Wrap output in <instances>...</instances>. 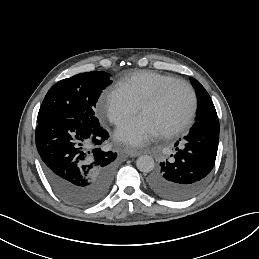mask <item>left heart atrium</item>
<instances>
[{"mask_svg":"<svg viewBox=\"0 0 259 259\" xmlns=\"http://www.w3.org/2000/svg\"><path fill=\"white\" fill-rule=\"evenodd\" d=\"M159 131L151 127L143 118L137 117L131 119L116 130V138L119 141L134 145L142 146L159 135Z\"/></svg>","mask_w":259,"mask_h":259,"instance_id":"1","label":"left heart atrium"}]
</instances>
